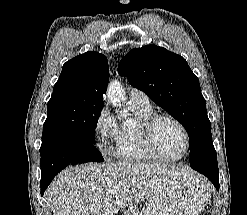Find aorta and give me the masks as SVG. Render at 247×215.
<instances>
[{"mask_svg": "<svg viewBox=\"0 0 247 215\" xmlns=\"http://www.w3.org/2000/svg\"><path fill=\"white\" fill-rule=\"evenodd\" d=\"M107 98L113 107H118L125 101V90L117 80L111 81L107 89Z\"/></svg>", "mask_w": 247, "mask_h": 215, "instance_id": "762f6f07", "label": "aorta"}]
</instances>
